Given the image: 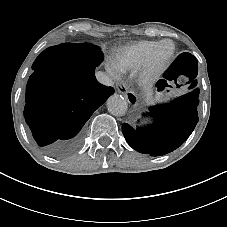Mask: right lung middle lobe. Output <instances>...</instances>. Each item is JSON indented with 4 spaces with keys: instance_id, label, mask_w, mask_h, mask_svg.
<instances>
[{
    "instance_id": "1",
    "label": "right lung middle lobe",
    "mask_w": 227,
    "mask_h": 227,
    "mask_svg": "<svg viewBox=\"0 0 227 227\" xmlns=\"http://www.w3.org/2000/svg\"><path fill=\"white\" fill-rule=\"evenodd\" d=\"M71 52L77 56L84 66L95 68L103 61V54L100 48L89 43H70Z\"/></svg>"
}]
</instances>
